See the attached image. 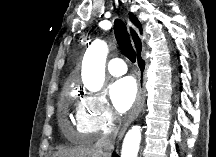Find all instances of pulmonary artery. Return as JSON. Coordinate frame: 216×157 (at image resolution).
<instances>
[{
    "label": "pulmonary artery",
    "mask_w": 216,
    "mask_h": 157,
    "mask_svg": "<svg viewBox=\"0 0 216 157\" xmlns=\"http://www.w3.org/2000/svg\"><path fill=\"white\" fill-rule=\"evenodd\" d=\"M109 73L114 76H120L127 72V67L121 58H113L107 64Z\"/></svg>",
    "instance_id": "1"
}]
</instances>
